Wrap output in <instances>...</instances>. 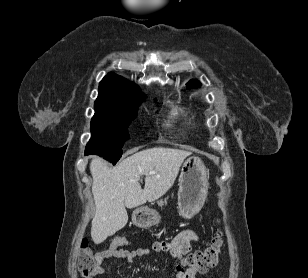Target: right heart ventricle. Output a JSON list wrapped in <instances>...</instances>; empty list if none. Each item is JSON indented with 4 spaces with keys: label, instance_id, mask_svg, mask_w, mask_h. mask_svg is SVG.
<instances>
[{
    "label": "right heart ventricle",
    "instance_id": "1",
    "mask_svg": "<svg viewBox=\"0 0 308 278\" xmlns=\"http://www.w3.org/2000/svg\"><path fill=\"white\" fill-rule=\"evenodd\" d=\"M170 125L179 124L182 120V114L178 108H172L168 115Z\"/></svg>",
    "mask_w": 308,
    "mask_h": 278
}]
</instances>
